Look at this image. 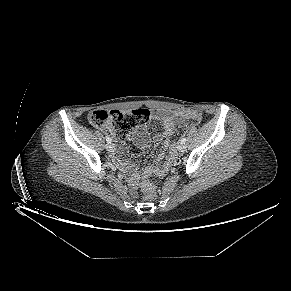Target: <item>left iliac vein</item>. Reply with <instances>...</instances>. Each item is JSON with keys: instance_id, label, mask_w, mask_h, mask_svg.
I'll list each match as a JSON object with an SVG mask.
<instances>
[{"instance_id": "left-iliac-vein-1", "label": "left iliac vein", "mask_w": 291, "mask_h": 291, "mask_svg": "<svg viewBox=\"0 0 291 291\" xmlns=\"http://www.w3.org/2000/svg\"><path fill=\"white\" fill-rule=\"evenodd\" d=\"M177 148L179 152H185L187 149V146L184 143H179Z\"/></svg>"}]
</instances>
